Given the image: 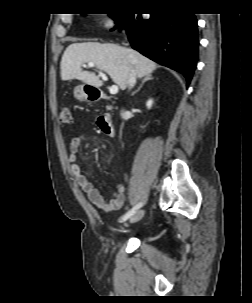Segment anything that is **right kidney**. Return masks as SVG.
I'll list each match as a JSON object with an SVG mask.
<instances>
[{
    "label": "right kidney",
    "mask_w": 252,
    "mask_h": 303,
    "mask_svg": "<svg viewBox=\"0 0 252 303\" xmlns=\"http://www.w3.org/2000/svg\"><path fill=\"white\" fill-rule=\"evenodd\" d=\"M152 104H153L152 99H149V100L147 101V103H146L147 108H148V109H150V108H151V106H152Z\"/></svg>",
    "instance_id": "ca27d5eb"
}]
</instances>
